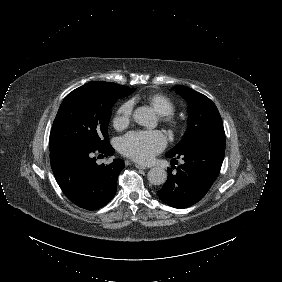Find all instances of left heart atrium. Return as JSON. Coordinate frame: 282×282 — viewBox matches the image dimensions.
Here are the masks:
<instances>
[{
  "instance_id": "obj_1",
  "label": "left heart atrium",
  "mask_w": 282,
  "mask_h": 282,
  "mask_svg": "<svg viewBox=\"0 0 282 282\" xmlns=\"http://www.w3.org/2000/svg\"><path fill=\"white\" fill-rule=\"evenodd\" d=\"M165 147V138L158 131L131 132L120 140L123 154L140 163L149 162Z\"/></svg>"
}]
</instances>
